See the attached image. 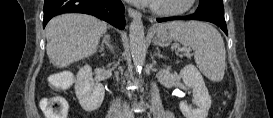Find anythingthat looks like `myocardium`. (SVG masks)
Instances as JSON below:
<instances>
[{"mask_svg": "<svg viewBox=\"0 0 273 118\" xmlns=\"http://www.w3.org/2000/svg\"><path fill=\"white\" fill-rule=\"evenodd\" d=\"M194 2L195 0H184L183 4L176 8H165L157 5L156 3L155 5H152V11L153 13L163 17L176 16L187 12L192 7Z\"/></svg>", "mask_w": 273, "mask_h": 118, "instance_id": "obj_1", "label": "myocardium"}]
</instances>
